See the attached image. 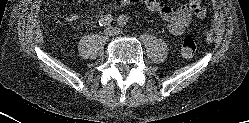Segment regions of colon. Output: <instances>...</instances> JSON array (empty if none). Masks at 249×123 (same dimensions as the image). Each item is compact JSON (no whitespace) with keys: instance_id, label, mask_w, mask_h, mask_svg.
Wrapping results in <instances>:
<instances>
[{"instance_id":"obj_1","label":"colon","mask_w":249,"mask_h":123,"mask_svg":"<svg viewBox=\"0 0 249 123\" xmlns=\"http://www.w3.org/2000/svg\"><path fill=\"white\" fill-rule=\"evenodd\" d=\"M197 50V43L193 36L186 35L181 42V55L184 58H191L195 55Z\"/></svg>"}]
</instances>
